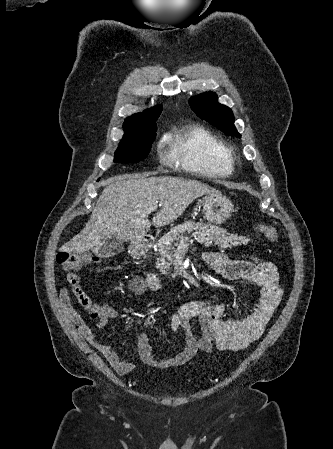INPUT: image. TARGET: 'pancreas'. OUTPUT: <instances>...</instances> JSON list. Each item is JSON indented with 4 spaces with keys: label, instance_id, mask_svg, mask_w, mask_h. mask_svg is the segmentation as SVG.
<instances>
[{
    "label": "pancreas",
    "instance_id": "obj_1",
    "mask_svg": "<svg viewBox=\"0 0 333 449\" xmlns=\"http://www.w3.org/2000/svg\"><path fill=\"white\" fill-rule=\"evenodd\" d=\"M192 232V236L205 246L217 245L220 248H232L233 246H241L246 244L247 240L244 236L237 234H229L227 230L217 227H209L192 221L173 227L166 235H164L158 243V251L161 254L160 262H157L161 274H168L170 265L173 262V256L176 247L180 243L189 242L187 234Z\"/></svg>",
    "mask_w": 333,
    "mask_h": 449
}]
</instances>
